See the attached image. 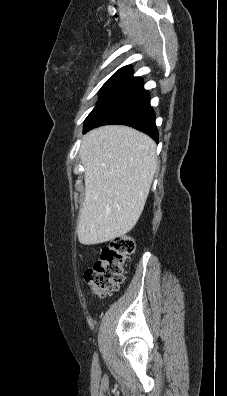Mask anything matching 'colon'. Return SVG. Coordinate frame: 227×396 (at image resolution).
<instances>
[{
  "label": "colon",
  "mask_w": 227,
  "mask_h": 396,
  "mask_svg": "<svg viewBox=\"0 0 227 396\" xmlns=\"http://www.w3.org/2000/svg\"><path fill=\"white\" fill-rule=\"evenodd\" d=\"M135 250L131 236L114 238L100 250L99 259L85 272V280L93 293L104 297L113 292L124 280V264Z\"/></svg>",
  "instance_id": "1"
}]
</instances>
